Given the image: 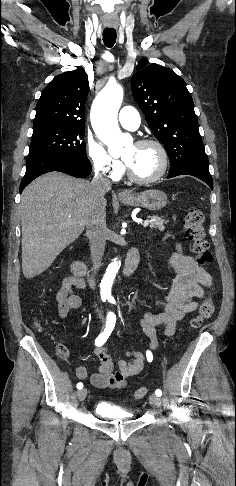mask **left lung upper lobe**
Listing matches in <instances>:
<instances>
[{
  "label": "left lung upper lobe",
  "instance_id": "left-lung-upper-lobe-1",
  "mask_svg": "<svg viewBox=\"0 0 236 486\" xmlns=\"http://www.w3.org/2000/svg\"><path fill=\"white\" fill-rule=\"evenodd\" d=\"M132 76L135 101L170 158V172L191 168L209 172L194 103L185 81L169 68L139 61Z\"/></svg>",
  "mask_w": 236,
  "mask_h": 486
}]
</instances>
